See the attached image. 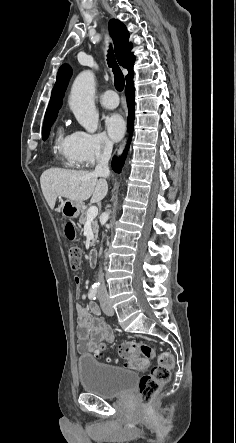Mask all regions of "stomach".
Masks as SVG:
<instances>
[{"instance_id": "1", "label": "stomach", "mask_w": 236, "mask_h": 443, "mask_svg": "<svg viewBox=\"0 0 236 443\" xmlns=\"http://www.w3.org/2000/svg\"><path fill=\"white\" fill-rule=\"evenodd\" d=\"M83 203L75 202L72 200H65L61 204V212L62 215L66 218L72 219L77 218L82 212Z\"/></svg>"}]
</instances>
